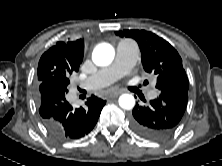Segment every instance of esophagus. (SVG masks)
I'll list each match as a JSON object with an SVG mask.
<instances>
[{"mask_svg": "<svg viewBox=\"0 0 222 166\" xmlns=\"http://www.w3.org/2000/svg\"><path fill=\"white\" fill-rule=\"evenodd\" d=\"M121 93H122V91H114V92L109 93L107 96H108V98H115V97L119 96Z\"/></svg>", "mask_w": 222, "mask_h": 166, "instance_id": "1", "label": "esophagus"}]
</instances>
